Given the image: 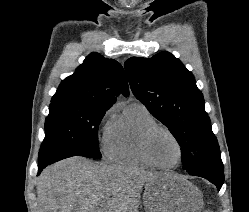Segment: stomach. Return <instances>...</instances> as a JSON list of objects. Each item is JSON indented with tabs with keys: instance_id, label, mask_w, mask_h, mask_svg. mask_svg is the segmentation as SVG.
<instances>
[{
	"instance_id": "1",
	"label": "stomach",
	"mask_w": 249,
	"mask_h": 212,
	"mask_svg": "<svg viewBox=\"0 0 249 212\" xmlns=\"http://www.w3.org/2000/svg\"><path fill=\"white\" fill-rule=\"evenodd\" d=\"M143 200L146 212H202L204 204L200 190L171 170L146 179Z\"/></svg>"
}]
</instances>
